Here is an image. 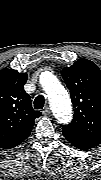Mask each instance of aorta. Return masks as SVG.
Masks as SVG:
<instances>
[{"mask_svg":"<svg viewBox=\"0 0 101 180\" xmlns=\"http://www.w3.org/2000/svg\"><path fill=\"white\" fill-rule=\"evenodd\" d=\"M54 116L59 123L67 124L72 118L71 100L68 92L60 84L56 76L47 72L43 81Z\"/></svg>","mask_w":101,"mask_h":180,"instance_id":"1","label":"aorta"}]
</instances>
